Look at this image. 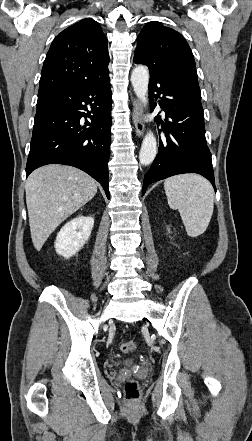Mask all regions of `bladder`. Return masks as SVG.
<instances>
[{
  "label": "bladder",
  "instance_id": "1",
  "mask_svg": "<svg viewBox=\"0 0 252 441\" xmlns=\"http://www.w3.org/2000/svg\"><path fill=\"white\" fill-rule=\"evenodd\" d=\"M131 362H132L131 360H124V361H123V364H124V365H129V364H131Z\"/></svg>",
  "mask_w": 252,
  "mask_h": 441
}]
</instances>
